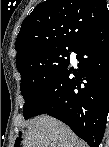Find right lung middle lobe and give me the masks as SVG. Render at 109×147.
<instances>
[{
	"instance_id": "dd1d6c3e",
	"label": "right lung middle lobe",
	"mask_w": 109,
	"mask_h": 147,
	"mask_svg": "<svg viewBox=\"0 0 109 147\" xmlns=\"http://www.w3.org/2000/svg\"><path fill=\"white\" fill-rule=\"evenodd\" d=\"M72 49H50L39 53L29 64L21 67V93L25 99V119L35 116L46 93L69 63Z\"/></svg>"
}]
</instances>
